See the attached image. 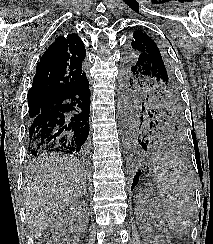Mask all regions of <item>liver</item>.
I'll return each mask as SVG.
<instances>
[{
    "label": "liver",
    "instance_id": "obj_1",
    "mask_svg": "<svg viewBox=\"0 0 213 244\" xmlns=\"http://www.w3.org/2000/svg\"><path fill=\"white\" fill-rule=\"evenodd\" d=\"M85 183L84 168L73 156L53 153L31 165L22 194L33 238H39L55 216L80 197Z\"/></svg>",
    "mask_w": 213,
    "mask_h": 244
}]
</instances>
